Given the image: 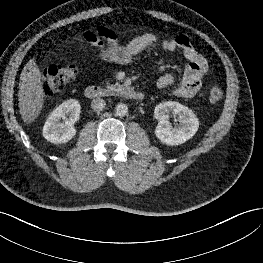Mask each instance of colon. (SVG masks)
I'll return each instance as SVG.
<instances>
[{"label":"colon","mask_w":263,"mask_h":263,"mask_svg":"<svg viewBox=\"0 0 263 263\" xmlns=\"http://www.w3.org/2000/svg\"><path fill=\"white\" fill-rule=\"evenodd\" d=\"M76 75L75 65H51L43 72L42 88L45 95H53L61 92ZM208 100L217 103L224 97V90L218 84H212L208 88Z\"/></svg>","instance_id":"colon-1"}]
</instances>
